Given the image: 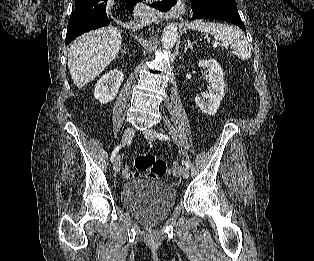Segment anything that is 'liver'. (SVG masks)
Returning a JSON list of instances; mask_svg holds the SVG:
<instances>
[{"instance_id": "obj_1", "label": "liver", "mask_w": 314, "mask_h": 261, "mask_svg": "<svg viewBox=\"0 0 314 261\" xmlns=\"http://www.w3.org/2000/svg\"><path fill=\"white\" fill-rule=\"evenodd\" d=\"M121 33L113 26L93 30L78 37L68 51V68L77 87L94 80L117 56Z\"/></svg>"}]
</instances>
